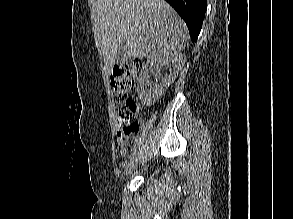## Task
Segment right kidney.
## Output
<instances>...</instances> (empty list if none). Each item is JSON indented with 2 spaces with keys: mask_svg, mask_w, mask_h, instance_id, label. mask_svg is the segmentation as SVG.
I'll list each match as a JSON object with an SVG mask.
<instances>
[{
  "mask_svg": "<svg viewBox=\"0 0 293 219\" xmlns=\"http://www.w3.org/2000/svg\"><path fill=\"white\" fill-rule=\"evenodd\" d=\"M184 62L185 56L179 53L148 60L142 67L138 81L137 91L141 102L144 104H151L159 100L164 91L176 78ZM166 64L171 68L169 73L166 74L165 77H161L158 84L150 83L148 81L149 72L153 69L160 72L161 68ZM148 86H150V88Z\"/></svg>",
  "mask_w": 293,
  "mask_h": 219,
  "instance_id": "obj_1",
  "label": "right kidney"
}]
</instances>
